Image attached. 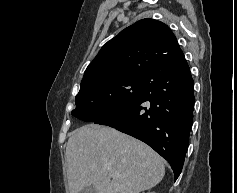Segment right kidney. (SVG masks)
<instances>
[{
	"mask_svg": "<svg viewBox=\"0 0 237 193\" xmlns=\"http://www.w3.org/2000/svg\"><path fill=\"white\" fill-rule=\"evenodd\" d=\"M147 193H155V192H147Z\"/></svg>",
	"mask_w": 237,
	"mask_h": 193,
	"instance_id": "ca27d5eb",
	"label": "right kidney"
}]
</instances>
